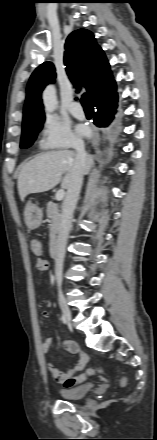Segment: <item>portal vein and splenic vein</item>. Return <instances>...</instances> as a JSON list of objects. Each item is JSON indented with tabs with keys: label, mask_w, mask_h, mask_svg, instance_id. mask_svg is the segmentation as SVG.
<instances>
[{
	"label": "portal vein and splenic vein",
	"mask_w": 157,
	"mask_h": 440,
	"mask_svg": "<svg viewBox=\"0 0 157 440\" xmlns=\"http://www.w3.org/2000/svg\"><path fill=\"white\" fill-rule=\"evenodd\" d=\"M64 196H65V191L63 189H60L56 193V200L61 201L63 200Z\"/></svg>",
	"instance_id": "obj_1"
}]
</instances>
